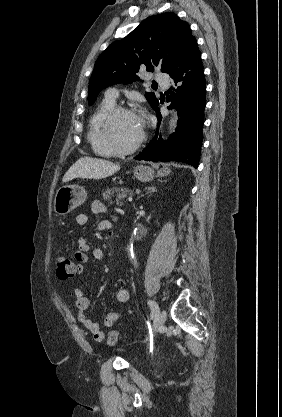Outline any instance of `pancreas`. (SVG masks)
I'll list each match as a JSON object with an SVG mask.
<instances>
[{
	"label": "pancreas",
	"mask_w": 282,
	"mask_h": 417,
	"mask_svg": "<svg viewBox=\"0 0 282 417\" xmlns=\"http://www.w3.org/2000/svg\"><path fill=\"white\" fill-rule=\"evenodd\" d=\"M128 192L132 194V190H129V188H118V186H113V188H105L103 198L104 200H111V202H116V204L122 206V204H124L123 198H125ZM114 194L115 200H112Z\"/></svg>",
	"instance_id": "cf45deb5"
}]
</instances>
